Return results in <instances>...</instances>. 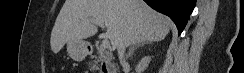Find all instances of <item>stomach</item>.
<instances>
[{
    "instance_id": "obj_1",
    "label": "stomach",
    "mask_w": 244,
    "mask_h": 73,
    "mask_svg": "<svg viewBox=\"0 0 244 73\" xmlns=\"http://www.w3.org/2000/svg\"><path fill=\"white\" fill-rule=\"evenodd\" d=\"M67 51L75 61H82L88 54V43L84 40H71L67 42Z\"/></svg>"
}]
</instances>
